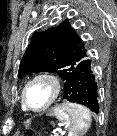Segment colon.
I'll return each mask as SVG.
<instances>
[{"instance_id":"colon-1","label":"colon","mask_w":117,"mask_h":136,"mask_svg":"<svg viewBox=\"0 0 117 136\" xmlns=\"http://www.w3.org/2000/svg\"><path fill=\"white\" fill-rule=\"evenodd\" d=\"M27 135H29V136H30V135H33V133H32V132H28V133H27Z\"/></svg>"}]
</instances>
